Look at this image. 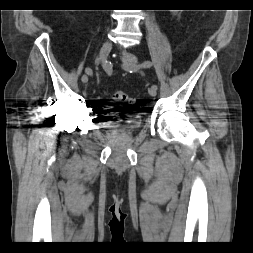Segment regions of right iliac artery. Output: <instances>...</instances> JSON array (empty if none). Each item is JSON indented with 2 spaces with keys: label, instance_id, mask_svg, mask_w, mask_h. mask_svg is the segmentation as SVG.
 <instances>
[{
  "label": "right iliac artery",
  "instance_id": "obj_1",
  "mask_svg": "<svg viewBox=\"0 0 253 253\" xmlns=\"http://www.w3.org/2000/svg\"><path fill=\"white\" fill-rule=\"evenodd\" d=\"M103 68L105 69V71H106L108 74L111 73V68H110V66L107 64V62H104ZM84 71H85V74H86V75H91V74H92V71H91V68H90V67H85V68H84Z\"/></svg>",
  "mask_w": 253,
  "mask_h": 253
}]
</instances>
